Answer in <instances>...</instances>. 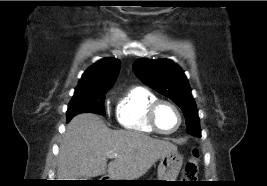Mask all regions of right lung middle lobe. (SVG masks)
I'll return each instance as SVG.
<instances>
[{
  "mask_svg": "<svg viewBox=\"0 0 267 186\" xmlns=\"http://www.w3.org/2000/svg\"><path fill=\"white\" fill-rule=\"evenodd\" d=\"M108 88L75 92L67 110V122L79 113L105 115L104 99Z\"/></svg>",
  "mask_w": 267,
  "mask_h": 186,
  "instance_id": "right-lung-middle-lobe-1",
  "label": "right lung middle lobe"
}]
</instances>
